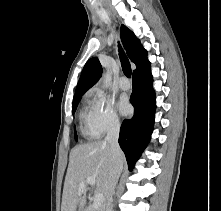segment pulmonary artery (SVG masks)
<instances>
[{
  "label": "pulmonary artery",
  "instance_id": "1",
  "mask_svg": "<svg viewBox=\"0 0 221 211\" xmlns=\"http://www.w3.org/2000/svg\"><path fill=\"white\" fill-rule=\"evenodd\" d=\"M118 85L122 90H128L130 88V83L126 77H121L119 79Z\"/></svg>",
  "mask_w": 221,
  "mask_h": 211
}]
</instances>
